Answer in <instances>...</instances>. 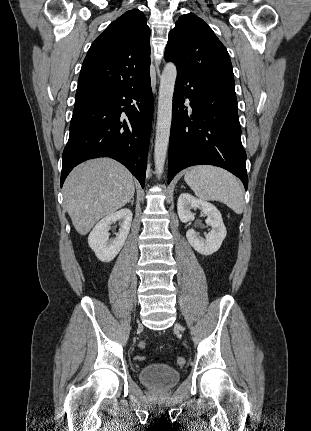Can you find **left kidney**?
I'll use <instances>...</instances> for the list:
<instances>
[{
  "instance_id": "1",
  "label": "left kidney",
  "mask_w": 311,
  "mask_h": 431,
  "mask_svg": "<svg viewBox=\"0 0 311 431\" xmlns=\"http://www.w3.org/2000/svg\"><path fill=\"white\" fill-rule=\"evenodd\" d=\"M191 210H201L207 216L206 223L211 225V231L207 233L206 239H204V237H199L195 229H188L186 237L198 253L211 255L214 251H218L223 239L226 237L227 231L222 216L213 204H209L205 200H197L191 194H180L177 202L179 219L184 223L195 219V214H192Z\"/></svg>"
}]
</instances>
